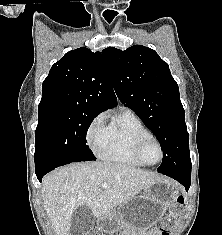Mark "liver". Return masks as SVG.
<instances>
[{"mask_svg": "<svg viewBox=\"0 0 222 235\" xmlns=\"http://www.w3.org/2000/svg\"><path fill=\"white\" fill-rule=\"evenodd\" d=\"M162 179L157 173L118 163H73L43 178V207L55 235H70L71 217L79 206H87L98 220ZM103 183L108 187L102 188Z\"/></svg>", "mask_w": 222, "mask_h": 235, "instance_id": "1", "label": "liver"}]
</instances>
